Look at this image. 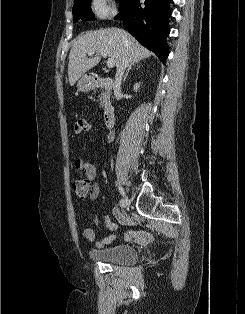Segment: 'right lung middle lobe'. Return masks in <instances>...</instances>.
I'll return each mask as SVG.
<instances>
[{"label":"right lung middle lobe","instance_id":"obj_1","mask_svg":"<svg viewBox=\"0 0 245 314\" xmlns=\"http://www.w3.org/2000/svg\"><path fill=\"white\" fill-rule=\"evenodd\" d=\"M129 0H119V9H121ZM73 5V20H94V14L91 11V0H77Z\"/></svg>","mask_w":245,"mask_h":314}]
</instances>
